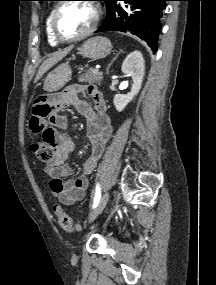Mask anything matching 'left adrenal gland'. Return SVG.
<instances>
[{"label": "left adrenal gland", "instance_id": "1", "mask_svg": "<svg viewBox=\"0 0 216 285\" xmlns=\"http://www.w3.org/2000/svg\"><path fill=\"white\" fill-rule=\"evenodd\" d=\"M120 53H122V50H120L119 53H117L116 56L113 58V60L108 64L107 73L109 72V68H110L111 64L117 59V57L119 56Z\"/></svg>", "mask_w": 216, "mask_h": 285}]
</instances>
